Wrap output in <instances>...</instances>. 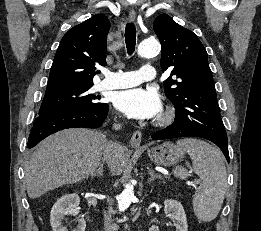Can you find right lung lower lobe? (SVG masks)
Wrapping results in <instances>:
<instances>
[{
  "label": "right lung lower lobe",
  "instance_id": "obj_1",
  "mask_svg": "<svg viewBox=\"0 0 261 231\" xmlns=\"http://www.w3.org/2000/svg\"><path fill=\"white\" fill-rule=\"evenodd\" d=\"M108 114V105L96 108L70 109L39 116L33 123L27 146L34 147L52 133L66 128H98Z\"/></svg>",
  "mask_w": 261,
  "mask_h": 231
}]
</instances>
